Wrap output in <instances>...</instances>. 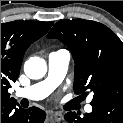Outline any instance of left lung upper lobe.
I'll return each instance as SVG.
<instances>
[{"label":"left lung upper lobe","mask_w":123,"mask_h":123,"mask_svg":"<svg viewBox=\"0 0 123 123\" xmlns=\"http://www.w3.org/2000/svg\"><path fill=\"white\" fill-rule=\"evenodd\" d=\"M72 52L74 92H93L92 106L105 102L123 105V43L105 25L83 19L57 22L47 35Z\"/></svg>","instance_id":"left-lung-upper-lobe-1"}]
</instances>
